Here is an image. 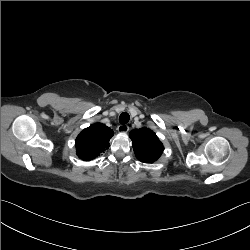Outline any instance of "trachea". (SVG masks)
<instances>
[{
  "mask_svg": "<svg viewBox=\"0 0 250 250\" xmlns=\"http://www.w3.org/2000/svg\"><path fill=\"white\" fill-rule=\"evenodd\" d=\"M130 116L127 112H123L121 113L120 117H119V122L121 124H126L129 122Z\"/></svg>",
  "mask_w": 250,
  "mask_h": 250,
  "instance_id": "3493384b",
  "label": "trachea"
}]
</instances>
